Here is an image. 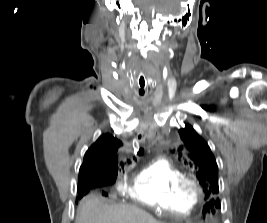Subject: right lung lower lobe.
<instances>
[{
	"mask_svg": "<svg viewBox=\"0 0 267 223\" xmlns=\"http://www.w3.org/2000/svg\"><path fill=\"white\" fill-rule=\"evenodd\" d=\"M108 183L101 177H84L79 179L78 192L79 194L88 193L92 188L106 186Z\"/></svg>",
	"mask_w": 267,
	"mask_h": 223,
	"instance_id": "obj_1",
	"label": "right lung lower lobe"
}]
</instances>
